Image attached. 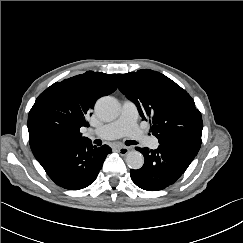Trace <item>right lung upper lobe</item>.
<instances>
[{
	"label": "right lung upper lobe",
	"mask_w": 243,
	"mask_h": 243,
	"mask_svg": "<svg viewBox=\"0 0 243 243\" xmlns=\"http://www.w3.org/2000/svg\"><path fill=\"white\" fill-rule=\"evenodd\" d=\"M121 74L87 71L48 87L36 99L28 116L30 147L43 140L68 143L90 141L80 133L82 126H89L96 100L114 92Z\"/></svg>",
	"instance_id": "1"
}]
</instances>
